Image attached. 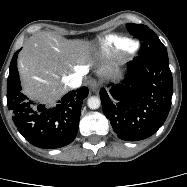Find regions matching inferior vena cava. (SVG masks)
Wrapping results in <instances>:
<instances>
[{
	"label": "inferior vena cava",
	"instance_id": "inferior-vena-cava-1",
	"mask_svg": "<svg viewBox=\"0 0 187 187\" xmlns=\"http://www.w3.org/2000/svg\"><path fill=\"white\" fill-rule=\"evenodd\" d=\"M85 74L83 69H79L76 73L70 74L66 78V84L70 88H78L82 84V76Z\"/></svg>",
	"mask_w": 187,
	"mask_h": 187
}]
</instances>
